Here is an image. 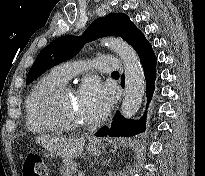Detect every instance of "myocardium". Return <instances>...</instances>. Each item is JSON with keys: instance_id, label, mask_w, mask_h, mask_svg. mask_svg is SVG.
Returning <instances> with one entry per match:
<instances>
[{"instance_id": "myocardium-1", "label": "myocardium", "mask_w": 205, "mask_h": 176, "mask_svg": "<svg viewBox=\"0 0 205 176\" xmlns=\"http://www.w3.org/2000/svg\"><path fill=\"white\" fill-rule=\"evenodd\" d=\"M72 93V87L62 85L55 88L45 96L42 101V114L48 119L59 131H74L86 127L85 123L69 122L63 119L59 110V101L62 97Z\"/></svg>"}]
</instances>
